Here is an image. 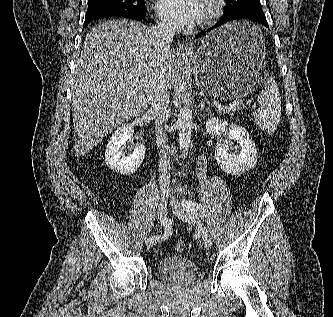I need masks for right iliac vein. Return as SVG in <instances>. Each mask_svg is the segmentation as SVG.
<instances>
[{
  "label": "right iliac vein",
  "mask_w": 333,
  "mask_h": 317,
  "mask_svg": "<svg viewBox=\"0 0 333 317\" xmlns=\"http://www.w3.org/2000/svg\"><path fill=\"white\" fill-rule=\"evenodd\" d=\"M167 203H168L167 193L161 192L159 196V204L157 212L162 225L164 222H166ZM155 243H156L155 239H152L150 237L145 241V245L147 247H152Z\"/></svg>",
  "instance_id": "right-iliac-vein-1"
}]
</instances>
